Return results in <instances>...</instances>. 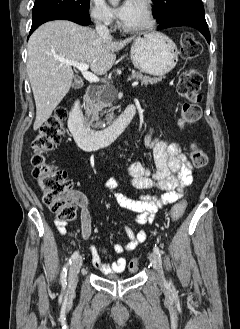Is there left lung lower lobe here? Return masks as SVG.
<instances>
[{"label":"left lung lower lobe","instance_id":"1","mask_svg":"<svg viewBox=\"0 0 240 329\" xmlns=\"http://www.w3.org/2000/svg\"><path fill=\"white\" fill-rule=\"evenodd\" d=\"M192 26L198 29L204 37L207 39V42L210 43V32L205 20L204 13L192 12V11H178L170 14L159 23L158 30L177 27V26Z\"/></svg>","mask_w":240,"mask_h":329}]
</instances>
